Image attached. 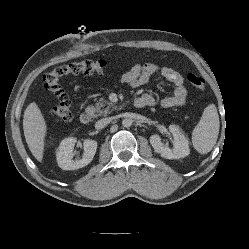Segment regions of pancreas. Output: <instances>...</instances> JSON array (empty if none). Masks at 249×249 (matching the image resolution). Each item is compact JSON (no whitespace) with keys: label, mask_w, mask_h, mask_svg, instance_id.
Here are the masks:
<instances>
[{"label":"pancreas","mask_w":249,"mask_h":249,"mask_svg":"<svg viewBox=\"0 0 249 249\" xmlns=\"http://www.w3.org/2000/svg\"><path fill=\"white\" fill-rule=\"evenodd\" d=\"M107 105V107H105ZM117 109V106L112 102H107L103 99H100L95 106H92L93 117L97 116H107L111 111Z\"/></svg>","instance_id":"pancreas-1"}]
</instances>
